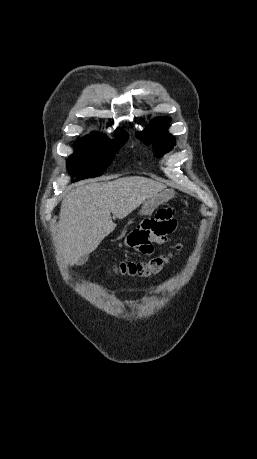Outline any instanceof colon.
<instances>
[{"mask_svg": "<svg viewBox=\"0 0 257 459\" xmlns=\"http://www.w3.org/2000/svg\"><path fill=\"white\" fill-rule=\"evenodd\" d=\"M180 250L181 246H178L175 248L174 252L156 256L147 261H121L115 266V270L122 274L129 275L132 277L147 278L161 272L162 269L173 257L174 253L179 252Z\"/></svg>", "mask_w": 257, "mask_h": 459, "instance_id": "colon-1", "label": "colon"}]
</instances>
